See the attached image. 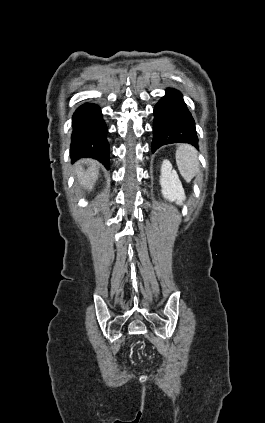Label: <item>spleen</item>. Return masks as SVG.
Segmentation results:
<instances>
[{"label":"spleen","mask_w":265,"mask_h":423,"mask_svg":"<svg viewBox=\"0 0 265 423\" xmlns=\"http://www.w3.org/2000/svg\"><path fill=\"white\" fill-rule=\"evenodd\" d=\"M176 163L180 174L187 182L191 181L199 171L197 152L191 145L182 144L177 148Z\"/></svg>","instance_id":"spleen-1"}]
</instances>
